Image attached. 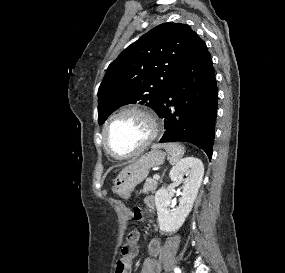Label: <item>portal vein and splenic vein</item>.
I'll use <instances>...</instances> for the list:
<instances>
[{
    "instance_id": "18ae733b",
    "label": "portal vein and splenic vein",
    "mask_w": 285,
    "mask_h": 273,
    "mask_svg": "<svg viewBox=\"0 0 285 273\" xmlns=\"http://www.w3.org/2000/svg\"><path fill=\"white\" fill-rule=\"evenodd\" d=\"M160 178V176L158 174H154L153 179L158 180Z\"/></svg>"
}]
</instances>
